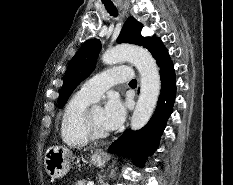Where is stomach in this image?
<instances>
[{"mask_svg": "<svg viewBox=\"0 0 233 185\" xmlns=\"http://www.w3.org/2000/svg\"><path fill=\"white\" fill-rule=\"evenodd\" d=\"M74 159L75 156L68 148L51 146L45 152V170L53 179L62 178L69 172ZM91 162L102 167L106 163V157L99 152H94L91 156Z\"/></svg>", "mask_w": 233, "mask_h": 185, "instance_id": "0dacf381", "label": "stomach"}]
</instances>
